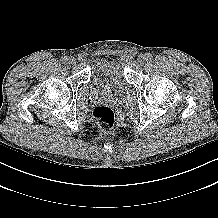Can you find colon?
Listing matches in <instances>:
<instances>
[{"label":"colon","instance_id":"colon-1","mask_svg":"<svg viewBox=\"0 0 218 218\" xmlns=\"http://www.w3.org/2000/svg\"><path fill=\"white\" fill-rule=\"evenodd\" d=\"M92 119L102 132H109L114 125V112L106 105H100L93 109Z\"/></svg>","mask_w":218,"mask_h":218}]
</instances>
